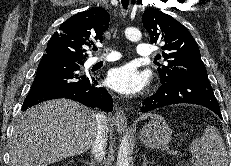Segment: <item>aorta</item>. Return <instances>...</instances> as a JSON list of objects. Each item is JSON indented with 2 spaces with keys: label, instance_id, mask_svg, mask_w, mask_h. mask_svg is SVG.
<instances>
[{
  "label": "aorta",
  "instance_id": "1",
  "mask_svg": "<svg viewBox=\"0 0 231 166\" xmlns=\"http://www.w3.org/2000/svg\"><path fill=\"white\" fill-rule=\"evenodd\" d=\"M125 36L132 42L139 41L142 37L137 28L128 27L125 29ZM130 144L128 136H123L119 145L116 166H129Z\"/></svg>",
  "mask_w": 231,
  "mask_h": 166
}]
</instances>
